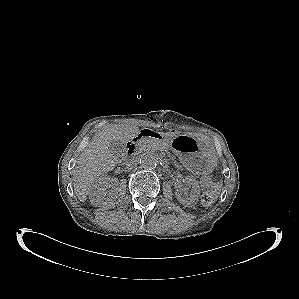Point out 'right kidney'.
I'll use <instances>...</instances> for the list:
<instances>
[{"mask_svg":"<svg viewBox=\"0 0 299 299\" xmlns=\"http://www.w3.org/2000/svg\"><path fill=\"white\" fill-rule=\"evenodd\" d=\"M118 185V180L102 175L99 177L89 190V199L93 206H102L105 203L106 190L114 189ZM111 195V193H110Z\"/></svg>","mask_w":299,"mask_h":299,"instance_id":"1","label":"right kidney"}]
</instances>
